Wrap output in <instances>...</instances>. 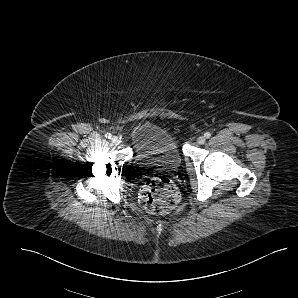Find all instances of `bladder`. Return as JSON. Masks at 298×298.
Here are the masks:
<instances>
[{
  "label": "bladder",
  "mask_w": 298,
  "mask_h": 298,
  "mask_svg": "<svg viewBox=\"0 0 298 298\" xmlns=\"http://www.w3.org/2000/svg\"><path fill=\"white\" fill-rule=\"evenodd\" d=\"M130 138L134 160L139 165L175 171L182 158L172 135L151 122H140L133 126Z\"/></svg>",
  "instance_id": "31cf9c89"
}]
</instances>
